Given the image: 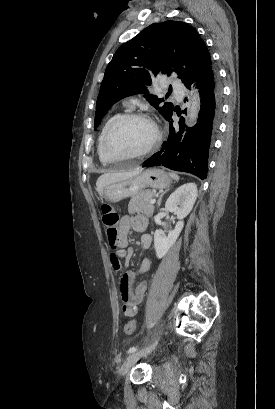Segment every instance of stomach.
Masks as SVG:
<instances>
[{
    "label": "stomach",
    "instance_id": "1",
    "mask_svg": "<svg viewBox=\"0 0 275 409\" xmlns=\"http://www.w3.org/2000/svg\"><path fill=\"white\" fill-rule=\"evenodd\" d=\"M170 182L171 178L163 168H146L140 174L107 184L103 188V196L109 202H118V200L127 198V196H135L141 190H145L147 186H150V188H167Z\"/></svg>",
    "mask_w": 275,
    "mask_h": 409
}]
</instances>
